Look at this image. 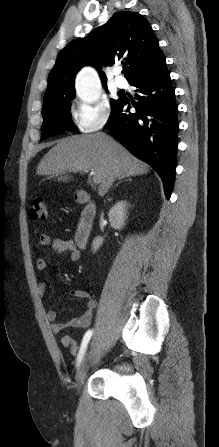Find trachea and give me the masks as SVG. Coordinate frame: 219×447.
<instances>
[{"label": "trachea", "instance_id": "trachea-1", "mask_svg": "<svg viewBox=\"0 0 219 447\" xmlns=\"http://www.w3.org/2000/svg\"><path fill=\"white\" fill-rule=\"evenodd\" d=\"M126 72H127V69L124 68V69L122 70V73H126Z\"/></svg>", "mask_w": 219, "mask_h": 447}]
</instances>
